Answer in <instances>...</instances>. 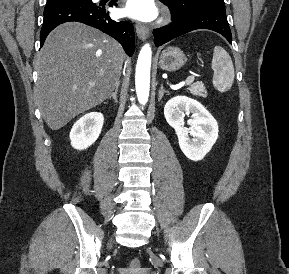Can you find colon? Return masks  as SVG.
I'll return each instance as SVG.
<instances>
[{"mask_svg": "<svg viewBox=\"0 0 289 274\" xmlns=\"http://www.w3.org/2000/svg\"><path fill=\"white\" fill-rule=\"evenodd\" d=\"M140 268V262L137 258H133L129 261L126 271H136Z\"/></svg>", "mask_w": 289, "mask_h": 274, "instance_id": "5ec220e1", "label": "colon"}]
</instances>
